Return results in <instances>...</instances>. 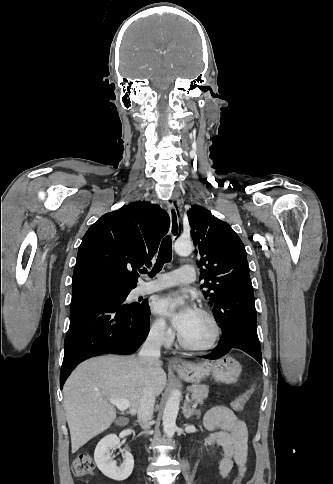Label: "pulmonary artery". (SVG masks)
<instances>
[{
  "instance_id": "1",
  "label": "pulmonary artery",
  "mask_w": 333,
  "mask_h": 484,
  "mask_svg": "<svg viewBox=\"0 0 333 484\" xmlns=\"http://www.w3.org/2000/svg\"><path fill=\"white\" fill-rule=\"evenodd\" d=\"M195 277L194 267L185 264L176 270L158 274L154 280L142 282L137 286L136 292L139 295L150 294L169 287L192 283Z\"/></svg>"
}]
</instances>
